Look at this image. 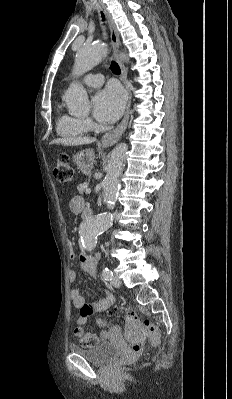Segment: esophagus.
Wrapping results in <instances>:
<instances>
[{"label": "esophagus", "instance_id": "obj_1", "mask_svg": "<svg viewBox=\"0 0 232 399\" xmlns=\"http://www.w3.org/2000/svg\"><path fill=\"white\" fill-rule=\"evenodd\" d=\"M100 1V4L102 5L108 20H109V28H110V38H111V43L115 52V56L117 59V62L119 64L120 70H121V80L124 83L127 92H128V102H127V107H126V112L124 114L123 119L121 120L120 124L118 125V127L114 130H111L110 132L106 133L105 135H103L102 139H101V145L103 147H109L111 145H114L116 142H118V140L121 138V135L124 134L127 125H128V120H129V111H130V106H131V101H132V94H131V90L129 88L128 85V81H127V71L125 66L123 65V63L121 62V60L119 59L118 56V49L120 46V38H119V33L117 31L116 25L114 23V21L112 20V17L110 15L109 10L107 9L106 5L104 3Z\"/></svg>", "mask_w": 232, "mask_h": 399}]
</instances>
